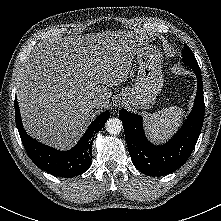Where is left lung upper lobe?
Returning a JSON list of instances; mask_svg holds the SVG:
<instances>
[{"mask_svg":"<svg viewBox=\"0 0 221 221\" xmlns=\"http://www.w3.org/2000/svg\"><path fill=\"white\" fill-rule=\"evenodd\" d=\"M182 54H183V62L186 65H188L192 69H200L196 61V58L194 57L192 51L186 44H184V49H182Z\"/></svg>","mask_w":221,"mask_h":221,"instance_id":"1","label":"left lung upper lobe"}]
</instances>
